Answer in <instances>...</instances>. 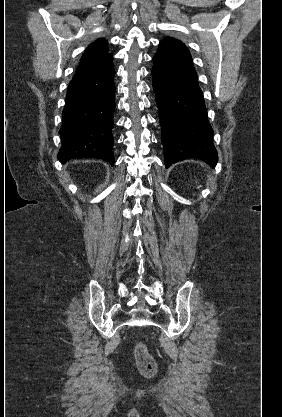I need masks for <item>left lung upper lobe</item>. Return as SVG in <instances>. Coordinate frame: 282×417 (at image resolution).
Listing matches in <instances>:
<instances>
[{
  "mask_svg": "<svg viewBox=\"0 0 282 417\" xmlns=\"http://www.w3.org/2000/svg\"><path fill=\"white\" fill-rule=\"evenodd\" d=\"M164 39H168V40H176V39H174V38H170V37H166V38H164Z\"/></svg>",
  "mask_w": 282,
  "mask_h": 417,
  "instance_id": "1",
  "label": "left lung upper lobe"
}]
</instances>
